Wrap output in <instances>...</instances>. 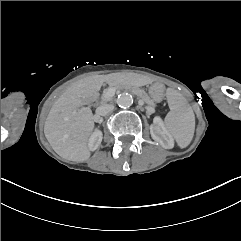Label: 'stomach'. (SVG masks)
Returning <instances> with one entry per match:
<instances>
[{"label":"stomach","instance_id":"obj_1","mask_svg":"<svg viewBox=\"0 0 241 241\" xmlns=\"http://www.w3.org/2000/svg\"><path fill=\"white\" fill-rule=\"evenodd\" d=\"M148 92L152 100L156 102H160L164 98L165 85L162 83L156 82L149 87Z\"/></svg>","mask_w":241,"mask_h":241}]
</instances>
